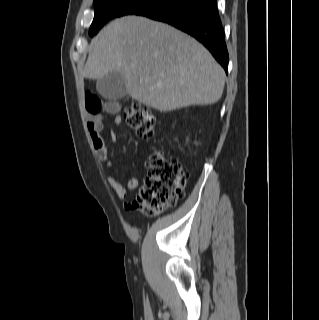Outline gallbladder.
<instances>
[{
    "label": "gallbladder",
    "mask_w": 319,
    "mask_h": 320,
    "mask_svg": "<svg viewBox=\"0 0 319 320\" xmlns=\"http://www.w3.org/2000/svg\"><path fill=\"white\" fill-rule=\"evenodd\" d=\"M96 88L101 96L108 100H117L127 95L124 77L115 72L99 79Z\"/></svg>",
    "instance_id": "1"
}]
</instances>
